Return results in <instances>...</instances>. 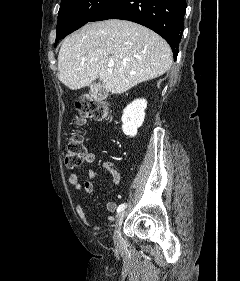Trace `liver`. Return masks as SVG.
Wrapping results in <instances>:
<instances>
[{"label":"liver","instance_id":"liver-1","mask_svg":"<svg viewBox=\"0 0 240 281\" xmlns=\"http://www.w3.org/2000/svg\"><path fill=\"white\" fill-rule=\"evenodd\" d=\"M173 61L169 44L137 23L111 19L92 22L66 37L58 54L60 81L71 90L100 78L103 87L121 94L160 77ZM113 62L111 70L108 63Z\"/></svg>","mask_w":240,"mask_h":281}]
</instances>
